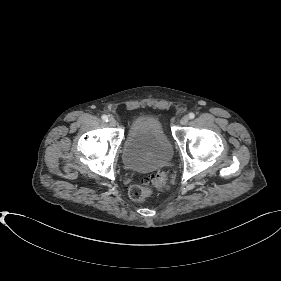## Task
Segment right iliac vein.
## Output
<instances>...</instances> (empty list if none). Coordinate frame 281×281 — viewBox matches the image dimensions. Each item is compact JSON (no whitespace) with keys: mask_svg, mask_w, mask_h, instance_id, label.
<instances>
[{"mask_svg":"<svg viewBox=\"0 0 281 281\" xmlns=\"http://www.w3.org/2000/svg\"><path fill=\"white\" fill-rule=\"evenodd\" d=\"M108 123H109L110 126L114 127V126H116L117 121L113 117H111V118H109Z\"/></svg>","mask_w":281,"mask_h":281,"instance_id":"63e3f726","label":"right iliac vein"}]
</instances>
